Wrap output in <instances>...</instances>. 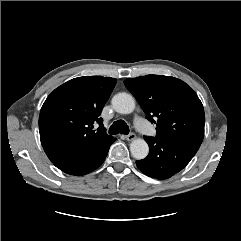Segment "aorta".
Instances as JSON below:
<instances>
[{
	"instance_id": "762f6f07",
	"label": "aorta",
	"mask_w": 241,
	"mask_h": 241,
	"mask_svg": "<svg viewBox=\"0 0 241 241\" xmlns=\"http://www.w3.org/2000/svg\"><path fill=\"white\" fill-rule=\"evenodd\" d=\"M112 107L120 114H130L134 111L135 100L127 93H118L112 98ZM130 151L135 159L146 158L149 153V147L145 140L135 139L130 144Z\"/></svg>"
}]
</instances>
